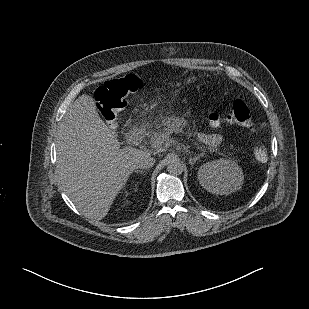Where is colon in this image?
I'll return each mask as SVG.
<instances>
[{"label":"colon","mask_w":309,"mask_h":309,"mask_svg":"<svg viewBox=\"0 0 309 309\" xmlns=\"http://www.w3.org/2000/svg\"><path fill=\"white\" fill-rule=\"evenodd\" d=\"M142 88V81L133 74H127L118 79L106 81L97 89L95 94L99 109L109 125L117 119L118 114L125 109L128 97ZM208 120L215 126L224 123L237 124L249 131L254 130L252 114L243 100H236L230 112L223 114L207 107ZM254 155L259 161H266L268 152L264 145L254 148Z\"/></svg>","instance_id":"obj_1"}]
</instances>
